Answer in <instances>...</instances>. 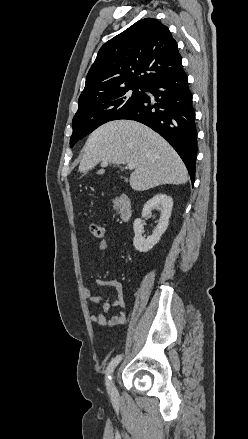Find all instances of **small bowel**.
Segmentation results:
<instances>
[{
  "mask_svg": "<svg viewBox=\"0 0 248 439\" xmlns=\"http://www.w3.org/2000/svg\"><path fill=\"white\" fill-rule=\"evenodd\" d=\"M109 242L107 240H101L99 242V250L106 251L109 248ZM98 258H94L89 266V269L92 270ZM96 284L100 287H109L116 292V297L111 299L110 297H104L102 295L92 294L91 290L88 287H83L82 292L86 299L95 304H102V308L104 314L102 313H93L90 315V320L101 327H113L125 324L127 318L124 312H120L118 314L110 316V312L114 308L125 307L124 294H123V284L118 279H98L96 280Z\"/></svg>",
  "mask_w": 248,
  "mask_h": 439,
  "instance_id": "1",
  "label": "small bowel"
}]
</instances>
